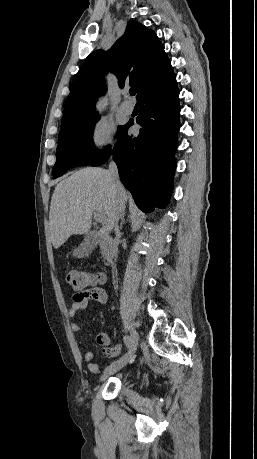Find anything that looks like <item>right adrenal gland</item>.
I'll list each match as a JSON object with an SVG mask.
<instances>
[{
  "label": "right adrenal gland",
  "instance_id": "1",
  "mask_svg": "<svg viewBox=\"0 0 257 459\" xmlns=\"http://www.w3.org/2000/svg\"><path fill=\"white\" fill-rule=\"evenodd\" d=\"M121 223H120V229H122V226L125 222V212L123 211L120 215Z\"/></svg>",
  "mask_w": 257,
  "mask_h": 459
}]
</instances>
